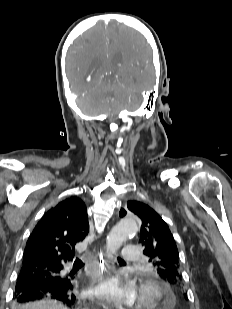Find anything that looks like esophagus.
Wrapping results in <instances>:
<instances>
[{"label": "esophagus", "mask_w": 232, "mask_h": 309, "mask_svg": "<svg viewBox=\"0 0 232 309\" xmlns=\"http://www.w3.org/2000/svg\"><path fill=\"white\" fill-rule=\"evenodd\" d=\"M108 265V259L106 257V253H100V255H95L94 260L92 262V273L94 284L99 283L104 276ZM99 305L103 306L102 303L99 302Z\"/></svg>", "instance_id": "esophagus-1"}]
</instances>
